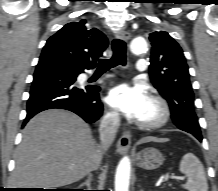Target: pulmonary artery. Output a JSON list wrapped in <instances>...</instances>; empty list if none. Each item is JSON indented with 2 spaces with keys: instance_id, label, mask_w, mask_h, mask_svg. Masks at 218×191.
I'll list each match as a JSON object with an SVG mask.
<instances>
[{
  "instance_id": "pulmonary-artery-1",
  "label": "pulmonary artery",
  "mask_w": 218,
  "mask_h": 191,
  "mask_svg": "<svg viewBox=\"0 0 218 191\" xmlns=\"http://www.w3.org/2000/svg\"><path fill=\"white\" fill-rule=\"evenodd\" d=\"M147 68V60L146 59H139L136 63L137 72H142Z\"/></svg>"
}]
</instances>
